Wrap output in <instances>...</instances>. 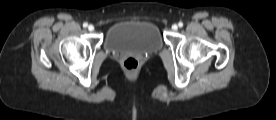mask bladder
Listing matches in <instances>:
<instances>
[{"label": "bladder", "mask_w": 276, "mask_h": 120, "mask_svg": "<svg viewBox=\"0 0 276 120\" xmlns=\"http://www.w3.org/2000/svg\"><path fill=\"white\" fill-rule=\"evenodd\" d=\"M104 46L110 52L151 53L162 48L163 40L152 22L121 21L108 29Z\"/></svg>", "instance_id": "1"}]
</instances>
